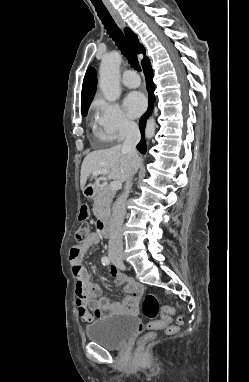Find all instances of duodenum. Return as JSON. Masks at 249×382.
<instances>
[{"label":"duodenum","mask_w":249,"mask_h":382,"mask_svg":"<svg viewBox=\"0 0 249 382\" xmlns=\"http://www.w3.org/2000/svg\"><path fill=\"white\" fill-rule=\"evenodd\" d=\"M97 227L100 234H102L105 238H109L111 236L110 224L106 219L98 220Z\"/></svg>","instance_id":"410a0bca"}]
</instances>
